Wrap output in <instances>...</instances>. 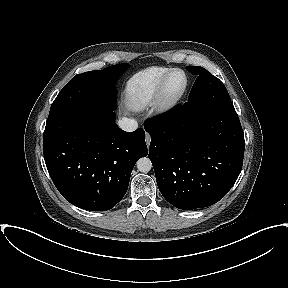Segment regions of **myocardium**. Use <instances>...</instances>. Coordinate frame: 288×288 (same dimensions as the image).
<instances>
[{"instance_id":"f54148a6","label":"myocardium","mask_w":288,"mask_h":288,"mask_svg":"<svg viewBox=\"0 0 288 288\" xmlns=\"http://www.w3.org/2000/svg\"><path fill=\"white\" fill-rule=\"evenodd\" d=\"M177 72L183 75L184 81H183L181 88L177 92L170 93L168 90V85H169L171 77ZM187 86H188V78H187L186 73L182 69H179V68L171 69L165 75V77L163 78V80L161 81L158 87L155 100H154L155 110L158 113H165L171 110L172 108H174L178 104V102L181 100L183 95L185 94Z\"/></svg>"}]
</instances>
